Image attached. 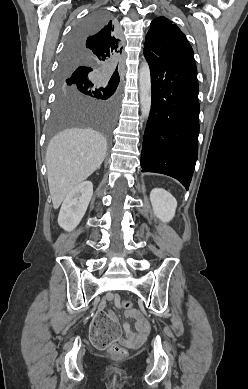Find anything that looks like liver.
Here are the masks:
<instances>
[{
  "instance_id": "liver-1",
  "label": "liver",
  "mask_w": 248,
  "mask_h": 389,
  "mask_svg": "<svg viewBox=\"0 0 248 389\" xmlns=\"http://www.w3.org/2000/svg\"><path fill=\"white\" fill-rule=\"evenodd\" d=\"M106 151L105 137L93 129H66L52 138L46 152V166L54 209L101 166Z\"/></svg>"
}]
</instances>
